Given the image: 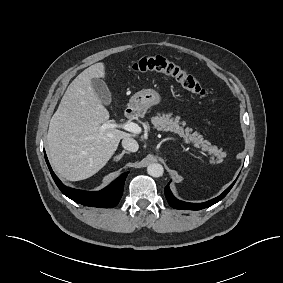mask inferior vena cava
<instances>
[{
    "label": "inferior vena cava",
    "instance_id": "inferior-vena-cava-1",
    "mask_svg": "<svg viewBox=\"0 0 283 283\" xmlns=\"http://www.w3.org/2000/svg\"><path fill=\"white\" fill-rule=\"evenodd\" d=\"M122 146L124 149L131 152H136L139 148L137 141L130 137L123 138Z\"/></svg>",
    "mask_w": 283,
    "mask_h": 283
}]
</instances>
